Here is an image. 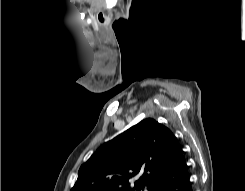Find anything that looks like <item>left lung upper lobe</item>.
<instances>
[{
	"instance_id": "5c2ea615",
	"label": "left lung upper lobe",
	"mask_w": 245,
	"mask_h": 191,
	"mask_svg": "<svg viewBox=\"0 0 245 191\" xmlns=\"http://www.w3.org/2000/svg\"><path fill=\"white\" fill-rule=\"evenodd\" d=\"M181 151L170 129L144 119L99 147L80 167L71 191H152Z\"/></svg>"
}]
</instances>
